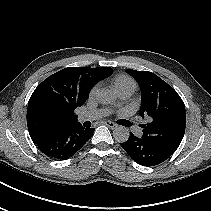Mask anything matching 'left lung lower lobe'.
Wrapping results in <instances>:
<instances>
[{
  "instance_id": "left-lung-lower-lobe-1",
  "label": "left lung lower lobe",
  "mask_w": 211,
  "mask_h": 211,
  "mask_svg": "<svg viewBox=\"0 0 211 211\" xmlns=\"http://www.w3.org/2000/svg\"><path fill=\"white\" fill-rule=\"evenodd\" d=\"M120 145L136 163L142 166H155L171 156L144 137H136L133 133H130L128 140Z\"/></svg>"
}]
</instances>
